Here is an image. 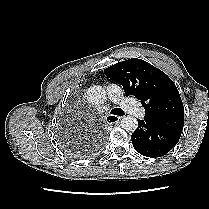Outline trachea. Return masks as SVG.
<instances>
[{
  "label": "trachea",
  "instance_id": "trachea-1",
  "mask_svg": "<svg viewBox=\"0 0 209 209\" xmlns=\"http://www.w3.org/2000/svg\"><path fill=\"white\" fill-rule=\"evenodd\" d=\"M111 114L118 115V116H123L125 113L120 108H114V109L111 110Z\"/></svg>",
  "mask_w": 209,
  "mask_h": 209
}]
</instances>
